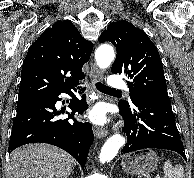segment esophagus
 <instances>
[{
  "label": "esophagus",
  "mask_w": 194,
  "mask_h": 178,
  "mask_svg": "<svg viewBox=\"0 0 194 178\" xmlns=\"http://www.w3.org/2000/svg\"><path fill=\"white\" fill-rule=\"evenodd\" d=\"M90 77L92 81H100L102 79L100 70L93 62L91 63ZM93 132L96 138H103L108 134L107 129L98 126H93Z\"/></svg>",
  "instance_id": "34e87169"
}]
</instances>
